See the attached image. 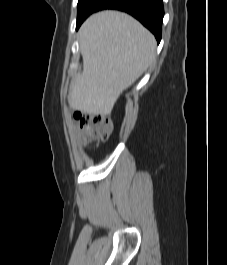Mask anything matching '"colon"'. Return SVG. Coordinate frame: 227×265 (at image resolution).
Masks as SVG:
<instances>
[{
    "label": "colon",
    "instance_id": "colon-1",
    "mask_svg": "<svg viewBox=\"0 0 227 265\" xmlns=\"http://www.w3.org/2000/svg\"><path fill=\"white\" fill-rule=\"evenodd\" d=\"M74 118L80 129L84 131L83 142L85 144L94 140L106 141L113 131L112 120L107 114L76 111Z\"/></svg>",
    "mask_w": 227,
    "mask_h": 265
}]
</instances>
